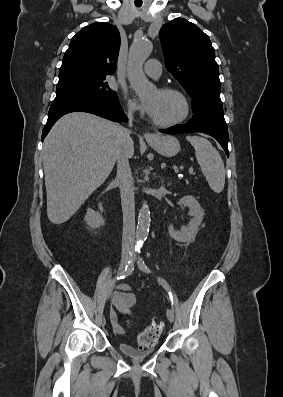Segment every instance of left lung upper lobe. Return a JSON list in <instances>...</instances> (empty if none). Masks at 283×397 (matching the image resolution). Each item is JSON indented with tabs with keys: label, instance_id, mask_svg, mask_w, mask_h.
I'll use <instances>...</instances> for the list:
<instances>
[{
	"label": "left lung upper lobe",
	"instance_id": "obj_1",
	"mask_svg": "<svg viewBox=\"0 0 283 397\" xmlns=\"http://www.w3.org/2000/svg\"><path fill=\"white\" fill-rule=\"evenodd\" d=\"M167 70L192 98L193 113L224 115L215 49L195 24L176 18L159 33Z\"/></svg>",
	"mask_w": 283,
	"mask_h": 397
}]
</instances>
